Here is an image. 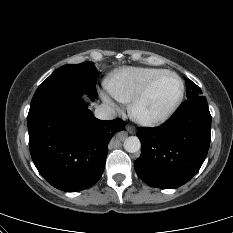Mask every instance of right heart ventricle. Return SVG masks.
Listing matches in <instances>:
<instances>
[{"label": "right heart ventricle", "mask_w": 233, "mask_h": 233, "mask_svg": "<svg viewBox=\"0 0 233 233\" xmlns=\"http://www.w3.org/2000/svg\"><path fill=\"white\" fill-rule=\"evenodd\" d=\"M161 71L163 69L152 67L122 68L105 80V88L116 100L129 103L141 88Z\"/></svg>", "instance_id": "e07e8e85"}]
</instances>
